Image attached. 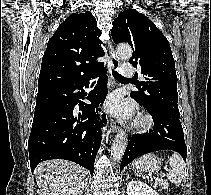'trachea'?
<instances>
[{
    "label": "trachea",
    "instance_id": "1",
    "mask_svg": "<svg viewBox=\"0 0 211 195\" xmlns=\"http://www.w3.org/2000/svg\"><path fill=\"white\" fill-rule=\"evenodd\" d=\"M112 74H113V77L118 81L133 82V80L123 77L122 75H120L118 72L114 70L112 71Z\"/></svg>",
    "mask_w": 211,
    "mask_h": 195
}]
</instances>
